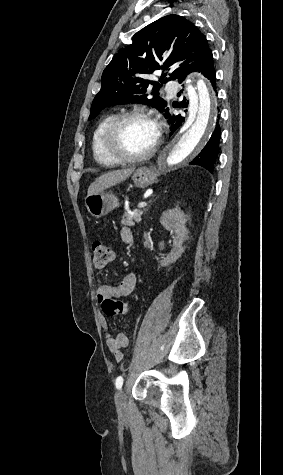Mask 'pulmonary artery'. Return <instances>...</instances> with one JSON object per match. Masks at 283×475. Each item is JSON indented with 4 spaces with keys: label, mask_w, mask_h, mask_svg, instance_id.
Returning a JSON list of instances; mask_svg holds the SVG:
<instances>
[{
    "label": "pulmonary artery",
    "mask_w": 283,
    "mask_h": 475,
    "mask_svg": "<svg viewBox=\"0 0 283 475\" xmlns=\"http://www.w3.org/2000/svg\"><path fill=\"white\" fill-rule=\"evenodd\" d=\"M165 88H166V95L167 96H176L177 95V87L174 83H170V84H166L165 85Z\"/></svg>",
    "instance_id": "e3ab8cb5"
}]
</instances>
